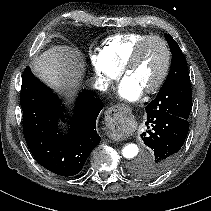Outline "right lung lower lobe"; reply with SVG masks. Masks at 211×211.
Segmentation results:
<instances>
[{
  "instance_id": "obj_1",
  "label": "right lung lower lobe",
  "mask_w": 211,
  "mask_h": 211,
  "mask_svg": "<svg viewBox=\"0 0 211 211\" xmlns=\"http://www.w3.org/2000/svg\"><path fill=\"white\" fill-rule=\"evenodd\" d=\"M23 111V133L35 160L47 170L61 176L79 173L101 137L96 131V118L103 108L92 91L78 97L70 132L58 128L63 118L61 100L26 67L20 93Z\"/></svg>"
}]
</instances>
